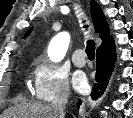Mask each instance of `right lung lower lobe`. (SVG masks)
Masks as SVG:
<instances>
[{"instance_id":"1","label":"right lung lower lobe","mask_w":133,"mask_h":118,"mask_svg":"<svg viewBox=\"0 0 133 118\" xmlns=\"http://www.w3.org/2000/svg\"><path fill=\"white\" fill-rule=\"evenodd\" d=\"M116 60L115 44L113 39L97 49L96 84L92 88L93 99L99 98L105 91ZM81 101H78L80 106Z\"/></svg>"}]
</instances>
